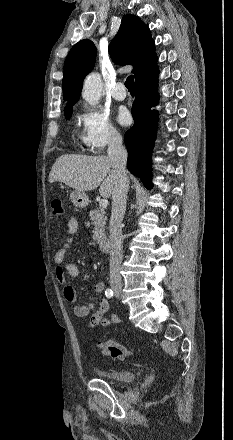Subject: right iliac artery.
I'll list each match as a JSON object with an SVG mask.
<instances>
[{
    "label": "right iliac artery",
    "instance_id": "obj_1",
    "mask_svg": "<svg viewBox=\"0 0 233 440\" xmlns=\"http://www.w3.org/2000/svg\"><path fill=\"white\" fill-rule=\"evenodd\" d=\"M105 295H106L107 298H112L113 297V291L108 288L105 291Z\"/></svg>",
    "mask_w": 233,
    "mask_h": 440
}]
</instances>
